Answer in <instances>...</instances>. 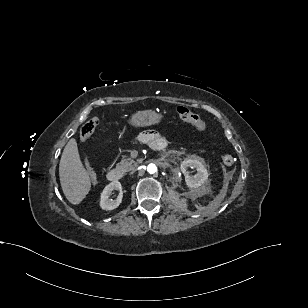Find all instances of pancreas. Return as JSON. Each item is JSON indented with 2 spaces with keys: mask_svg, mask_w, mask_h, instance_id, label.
Wrapping results in <instances>:
<instances>
[{
  "mask_svg": "<svg viewBox=\"0 0 308 308\" xmlns=\"http://www.w3.org/2000/svg\"><path fill=\"white\" fill-rule=\"evenodd\" d=\"M138 162H135L133 159L125 157L121 160V162L117 165V167L123 171H131L137 167Z\"/></svg>",
  "mask_w": 308,
  "mask_h": 308,
  "instance_id": "1",
  "label": "pancreas"
}]
</instances>
